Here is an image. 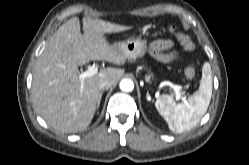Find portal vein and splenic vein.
<instances>
[{
  "label": "portal vein and splenic vein",
  "instance_id": "obj_1",
  "mask_svg": "<svg viewBox=\"0 0 249 165\" xmlns=\"http://www.w3.org/2000/svg\"><path fill=\"white\" fill-rule=\"evenodd\" d=\"M98 73V67H95V66H92L90 67L87 71L81 73L79 75L80 79H81V89H83V82H84V79L85 78H88V77H91L95 74ZM174 92H175V95H176V99L179 100L181 98V94H180V89L181 87L178 86V85H173L172 86Z\"/></svg>",
  "mask_w": 249,
  "mask_h": 165
}]
</instances>
